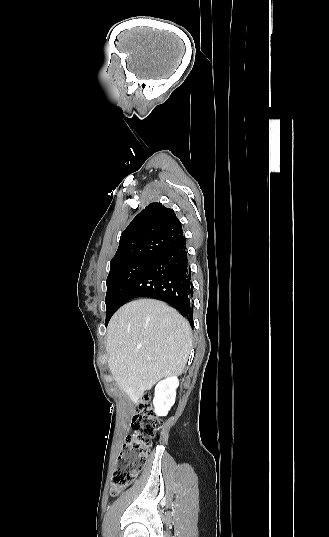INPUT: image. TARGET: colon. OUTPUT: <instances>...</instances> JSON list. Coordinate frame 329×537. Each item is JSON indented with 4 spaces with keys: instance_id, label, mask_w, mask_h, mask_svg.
Returning <instances> with one entry per match:
<instances>
[{
    "instance_id": "colon-1",
    "label": "colon",
    "mask_w": 329,
    "mask_h": 537,
    "mask_svg": "<svg viewBox=\"0 0 329 537\" xmlns=\"http://www.w3.org/2000/svg\"><path fill=\"white\" fill-rule=\"evenodd\" d=\"M131 426L133 433L126 437L112 473L110 492L113 496L134 481L162 428V420L155 415L148 395L136 403Z\"/></svg>"
}]
</instances>
